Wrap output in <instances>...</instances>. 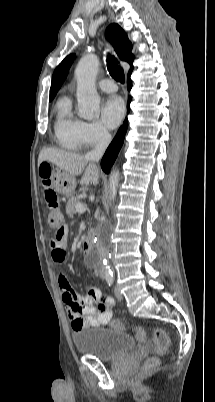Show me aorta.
Wrapping results in <instances>:
<instances>
[{
  "label": "aorta",
  "mask_w": 215,
  "mask_h": 402,
  "mask_svg": "<svg viewBox=\"0 0 215 402\" xmlns=\"http://www.w3.org/2000/svg\"><path fill=\"white\" fill-rule=\"evenodd\" d=\"M98 68L99 60L97 56L88 54L80 59L75 69L78 116L86 120L97 118L100 114V98L95 84ZM118 184L119 171L113 170L109 176L110 196L113 201L117 194ZM96 239L97 243L92 255V261L101 262L104 267L105 277L111 278L113 272L110 265V243L108 232L104 227L99 230Z\"/></svg>",
  "instance_id": "762f6f07"
}]
</instances>
